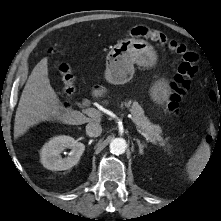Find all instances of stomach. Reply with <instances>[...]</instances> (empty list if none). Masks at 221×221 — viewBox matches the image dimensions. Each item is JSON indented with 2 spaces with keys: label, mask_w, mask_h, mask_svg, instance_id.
<instances>
[{
  "label": "stomach",
  "mask_w": 221,
  "mask_h": 221,
  "mask_svg": "<svg viewBox=\"0 0 221 221\" xmlns=\"http://www.w3.org/2000/svg\"><path fill=\"white\" fill-rule=\"evenodd\" d=\"M157 55L154 48L142 39L119 41L106 57L105 79L115 85L129 82L135 72L134 64L152 67ZM170 87L165 80H158L151 88V98L158 104L167 101Z\"/></svg>",
  "instance_id": "1"
}]
</instances>
